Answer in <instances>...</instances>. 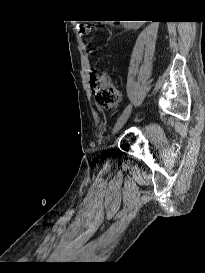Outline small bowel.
<instances>
[{
    "instance_id": "small-bowel-1",
    "label": "small bowel",
    "mask_w": 205,
    "mask_h": 273,
    "mask_svg": "<svg viewBox=\"0 0 205 273\" xmlns=\"http://www.w3.org/2000/svg\"><path fill=\"white\" fill-rule=\"evenodd\" d=\"M92 52H93V50L89 49V53H92Z\"/></svg>"
}]
</instances>
